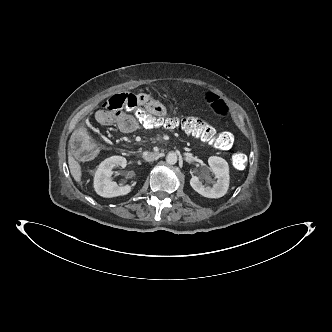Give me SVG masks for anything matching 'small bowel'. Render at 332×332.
Returning <instances> with one entry per match:
<instances>
[{"mask_svg": "<svg viewBox=\"0 0 332 332\" xmlns=\"http://www.w3.org/2000/svg\"><path fill=\"white\" fill-rule=\"evenodd\" d=\"M137 103L139 106L148 113H152L153 116L161 119H166L170 115L168 107L162 105L159 102L152 101L147 94L140 93L137 95ZM96 119L103 124H111L118 126V128L125 133L138 132L141 124L136 115L130 111H111V110H98L96 112Z\"/></svg>", "mask_w": 332, "mask_h": 332, "instance_id": "c3829d8e", "label": "small bowel"}]
</instances>
